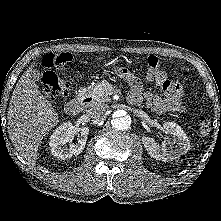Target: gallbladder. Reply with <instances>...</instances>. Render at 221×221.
Masks as SVG:
<instances>
[{"label": "gallbladder", "mask_w": 221, "mask_h": 221, "mask_svg": "<svg viewBox=\"0 0 221 221\" xmlns=\"http://www.w3.org/2000/svg\"><path fill=\"white\" fill-rule=\"evenodd\" d=\"M31 75H32V78L35 81H38L40 79V77H41L40 72L38 70H36V69L32 70Z\"/></svg>", "instance_id": "obj_1"}]
</instances>
